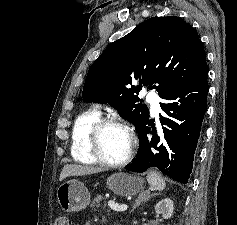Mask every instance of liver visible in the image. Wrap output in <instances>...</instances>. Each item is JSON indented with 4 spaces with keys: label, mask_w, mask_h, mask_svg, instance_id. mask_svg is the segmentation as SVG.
<instances>
[{
    "label": "liver",
    "mask_w": 237,
    "mask_h": 225,
    "mask_svg": "<svg viewBox=\"0 0 237 225\" xmlns=\"http://www.w3.org/2000/svg\"><path fill=\"white\" fill-rule=\"evenodd\" d=\"M102 168L92 166H82L76 164H67L63 167L59 180L62 181L68 176H83L102 172Z\"/></svg>",
    "instance_id": "6515ba94"
}]
</instances>
